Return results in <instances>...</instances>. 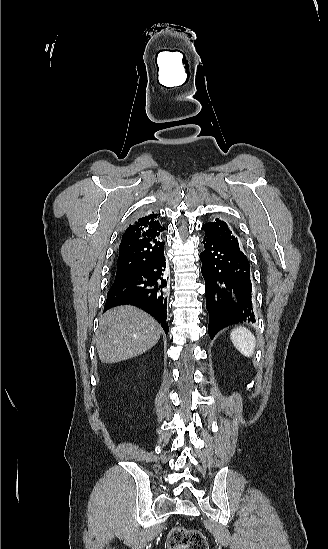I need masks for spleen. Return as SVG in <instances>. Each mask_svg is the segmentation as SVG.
I'll return each instance as SVG.
<instances>
[{"label": "spleen", "mask_w": 328, "mask_h": 549, "mask_svg": "<svg viewBox=\"0 0 328 549\" xmlns=\"http://www.w3.org/2000/svg\"><path fill=\"white\" fill-rule=\"evenodd\" d=\"M230 339L239 353L244 357H252L256 347V339L246 327H236L230 333Z\"/></svg>", "instance_id": "obj_1"}]
</instances>
